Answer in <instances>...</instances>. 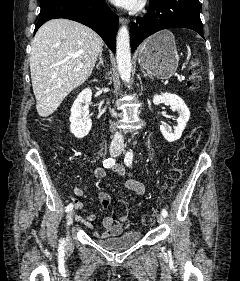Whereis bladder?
I'll return each instance as SVG.
<instances>
[{
  "instance_id": "bladder-1",
  "label": "bladder",
  "mask_w": 240,
  "mask_h": 281,
  "mask_svg": "<svg viewBox=\"0 0 240 281\" xmlns=\"http://www.w3.org/2000/svg\"><path fill=\"white\" fill-rule=\"evenodd\" d=\"M141 237L140 232L131 231L117 236L97 237L95 241L104 249L119 251L131 248L140 241Z\"/></svg>"
}]
</instances>
